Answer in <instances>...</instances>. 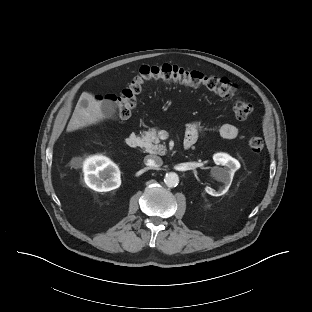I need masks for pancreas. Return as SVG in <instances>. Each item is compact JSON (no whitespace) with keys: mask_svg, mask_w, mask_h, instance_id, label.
I'll use <instances>...</instances> for the list:
<instances>
[{"mask_svg":"<svg viewBox=\"0 0 312 312\" xmlns=\"http://www.w3.org/2000/svg\"><path fill=\"white\" fill-rule=\"evenodd\" d=\"M142 146L145 148V151L150 154L165 155L166 153V146L160 144L156 128H151L144 132L142 135Z\"/></svg>","mask_w":312,"mask_h":312,"instance_id":"pancreas-1","label":"pancreas"}]
</instances>
